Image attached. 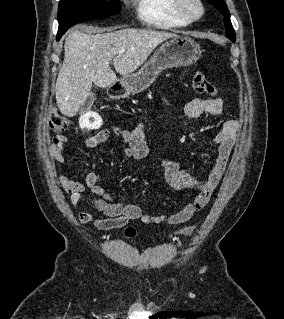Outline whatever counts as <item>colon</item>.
Returning a JSON list of instances; mask_svg holds the SVG:
<instances>
[{"mask_svg": "<svg viewBox=\"0 0 284 319\" xmlns=\"http://www.w3.org/2000/svg\"><path fill=\"white\" fill-rule=\"evenodd\" d=\"M191 84L193 89L202 95L210 97L216 95V87L200 71L195 72ZM49 125L52 131L56 133H61L69 127L70 121L64 116L60 115L59 113L54 112L51 114L49 118ZM194 229V226H189L184 229H181L176 234L188 236L193 233ZM125 235L127 237H133L135 235V230L133 228H128L125 231Z\"/></svg>", "mask_w": 284, "mask_h": 319, "instance_id": "1", "label": "colon"}]
</instances>
